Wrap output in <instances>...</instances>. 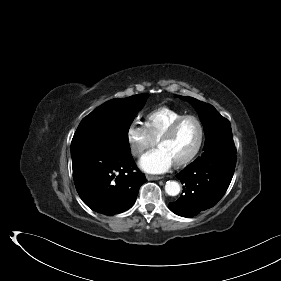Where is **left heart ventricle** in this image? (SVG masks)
I'll return each mask as SVG.
<instances>
[{
    "label": "left heart ventricle",
    "mask_w": 281,
    "mask_h": 281,
    "mask_svg": "<svg viewBox=\"0 0 281 281\" xmlns=\"http://www.w3.org/2000/svg\"><path fill=\"white\" fill-rule=\"evenodd\" d=\"M199 138V128L195 120H184L175 134L163 142L159 148L165 151L173 163L187 157L195 148Z\"/></svg>",
    "instance_id": "left-heart-ventricle-1"
}]
</instances>
